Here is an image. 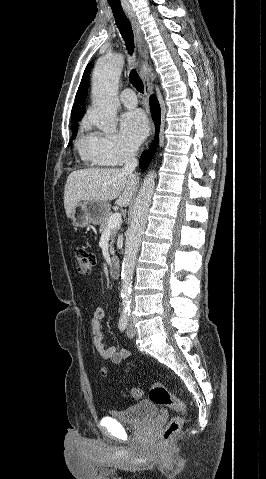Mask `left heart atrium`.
Returning <instances> with one entry per match:
<instances>
[{
	"label": "left heart atrium",
	"mask_w": 266,
	"mask_h": 479,
	"mask_svg": "<svg viewBox=\"0 0 266 479\" xmlns=\"http://www.w3.org/2000/svg\"><path fill=\"white\" fill-rule=\"evenodd\" d=\"M121 130L126 142L138 146L148 133V121L140 110L126 112L121 117Z\"/></svg>",
	"instance_id": "left-heart-atrium-1"
}]
</instances>
